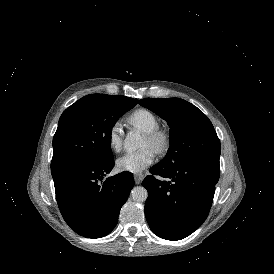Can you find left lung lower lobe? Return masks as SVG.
<instances>
[{"label":"left lung lower lobe","mask_w":274,"mask_h":274,"mask_svg":"<svg viewBox=\"0 0 274 274\" xmlns=\"http://www.w3.org/2000/svg\"><path fill=\"white\" fill-rule=\"evenodd\" d=\"M150 173L142 183L148 191L144 211L150 229L166 240L189 236L209 214L219 163L199 160L174 167L158 163Z\"/></svg>","instance_id":"left-lung-lower-lobe-1"}]
</instances>
